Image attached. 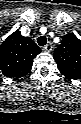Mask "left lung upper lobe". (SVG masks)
Here are the masks:
<instances>
[{
    "label": "left lung upper lobe",
    "instance_id": "1",
    "mask_svg": "<svg viewBox=\"0 0 81 124\" xmlns=\"http://www.w3.org/2000/svg\"><path fill=\"white\" fill-rule=\"evenodd\" d=\"M54 59L67 79H81V40L73 33L66 34L54 50Z\"/></svg>",
    "mask_w": 81,
    "mask_h": 124
}]
</instances>
